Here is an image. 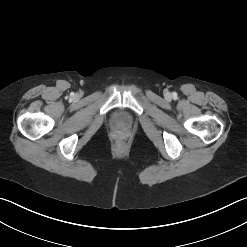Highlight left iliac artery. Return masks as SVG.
I'll list each match as a JSON object with an SVG mask.
<instances>
[{
    "mask_svg": "<svg viewBox=\"0 0 247 247\" xmlns=\"http://www.w3.org/2000/svg\"><path fill=\"white\" fill-rule=\"evenodd\" d=\"M174 97L176 98L177 97V94H174Z\"/></svg>",
    "mask_w": 247,
    "mask_h": 247,
    "instance_id": "left-iliac-artery-1",
    "label": "left iliac artery"
}]
</instances>
